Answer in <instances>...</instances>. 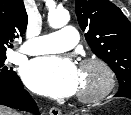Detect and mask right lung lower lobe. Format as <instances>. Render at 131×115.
I'll use <instances>...</instances> for the list:
<instances>
[{
  "label": "right lung lower lobe",
  "mask_w": 131,
  "mask_h": 115,
  "mask_svg": "<svg viewBox=\"0 0 131 115\" xmlns=\"http://www.w3.org/2000/svg\"><path fill=\"white\" fill-rule=\"evenodd\" d=\"M0 104L39 114L38 107L18 77L10 84H0Z\"/></svg>",
  "instance_id": "obj_1"
}]
</instances>
